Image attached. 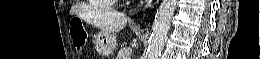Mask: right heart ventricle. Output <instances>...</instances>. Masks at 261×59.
<instances>
[{
  "label": "right heart ventricle",
  "mask_w": 261,
  "mask_h": 59,
  "mask_svg": "<svg viewBox=\"0 0 261 59\" xmlns=\"http://www.w3.org/2000/svg\"><path fill=\"white\" fill-rule=\"evenodd\" d=\"M100 6H111L114 0H97Z\"/></svg>",
  "instance_id": "e07e8e85"
}]
</instances>
